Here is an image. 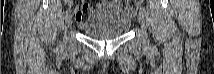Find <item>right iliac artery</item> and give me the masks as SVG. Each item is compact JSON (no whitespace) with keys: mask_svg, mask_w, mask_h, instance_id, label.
<instances>
[{"mask_svg":"<svg viewBox=\"0 0 214 74\" xmlns=\"http://www.w3.org/2000/svg\"><path fill=\"white\" fill-rule=\"evenodd\" d=\"M69 13H70V10H67V11H66V16H67Z\"/></svg>","mask_w":214,"mask_h":74,"instance_id":"1","label":"right iliac artery"}]
</instances>
